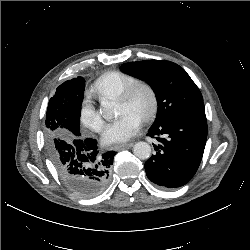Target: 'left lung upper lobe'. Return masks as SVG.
Returning a JSON list of instances; mask_svg holds the SVG:
<instances>
[{
	"mask_svg": "<svg viewBox=\"0 0 250 250\" xmlns=\"http://www.w3.org/2000/svg\"><path fill=\"white\" fill-rule=\"evenodd\" d=\"M120 70L146 81L153 89L158 111L154 125L175 117L204 111L201 92L179 65L166 60L125 63Z\"/></svg>",
	"mask_w": 250,
	"mask_h": 250,
	"instance_id": "obj_1",
	"label": "left lung upper lobe"
}]
</instances>
